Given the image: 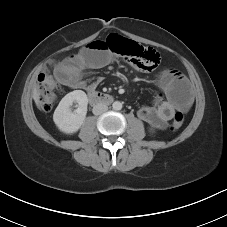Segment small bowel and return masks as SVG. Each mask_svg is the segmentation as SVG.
<instances>
[{
  "label": "small bowel",
  "instance_id": "1",
  "mask_svg": "<svg viewBox=\"0 0 227 227\" xmlns=\"http://www.w3.org/2000/svg\"><path fill=\"white\" fill-rule=\"evenodd\" d=\"M114 56L101 39H94L77 54L68 57L54 69L55 78L73 89L95 90L100 79H84L87 68H102L110 64ZM138 69L134 64L130 63ZM163 95H157L151 106L141 107L138 117L150 126L163 130L176 110L187 111L193 103L188 80L178 71L165 69L158 75Z\"/></svg>",
  "mask_w": 227,
  "mask_h": 227
}]
</instances>
